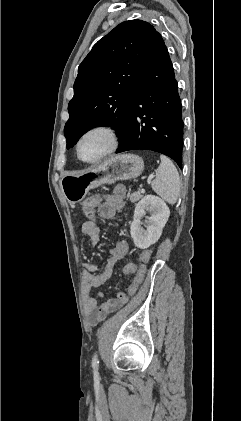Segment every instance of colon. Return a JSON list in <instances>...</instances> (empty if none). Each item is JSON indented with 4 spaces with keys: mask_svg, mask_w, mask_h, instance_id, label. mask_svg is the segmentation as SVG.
<instances>
[{
    "mask_svg": "<svg viewBox=\"0 0 241 421\" xmlns=\"http://www.w3.org/2000/svg\"><path fill=\"white\" fill-rule=\"evenodd\" d=\"M100 204L101 197L97 195L85 200L82 210L88 220L96 222L95 211ZM151 254V249L144 250L140 255L139 265H136L133 262H125L122 265L121 270L124 275H135L132 285L130 286L128 292L125 293L127 296L132 294L143 281L146 273V264L149 262Z\"/></svg>",
    "mask_w": 241,
    "mask_h": 421,
    "instance_id": "obj_1",
    "label": "colon"
}]
</instances>
